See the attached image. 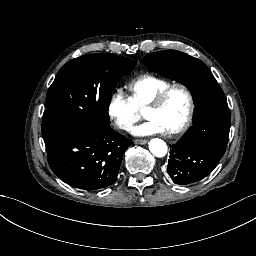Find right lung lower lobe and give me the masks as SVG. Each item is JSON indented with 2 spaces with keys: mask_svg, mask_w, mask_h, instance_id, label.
Masks as SVG:
<instances>
[{
  "mask_svg": "<svg viewBox=\"0 0 256 256\" xmlns=\"http://www.w3.org/2000/svg\"><path fill=\"white\" fill-rule=\"evenodd\" d=\"M44 141L52 171L65 183L84 190L113 184L124 152L133 144L110 126L79 134L58 132Z\"/></svg>",
  "mask_w": 256,
  "mask_h": 256,
  "instance_id": "right-lung-lower-lobe-1",
  "label": "right lung lower lobe"
}]
</instances>
